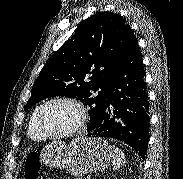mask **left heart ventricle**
<instances>
[{"label": "left heart ventricle", "instance_id": "b2bd125f", "mask_svg": "<svg viewBox=\"0 0 183 179\" xmlns=\"http://www.w3.org/2000/svg\"><path fill=\"white\" fill-rule=\"evenodd\" d=\"M78 121V112L70 104L55 103L49 106L41 120L42 129L49 134L70 130Z\"/></svg>", "mask_w": 183, "mask_h": 179}]
</instances>
